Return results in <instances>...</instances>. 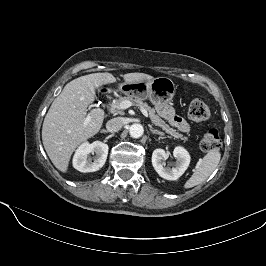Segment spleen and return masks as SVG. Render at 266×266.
I'll list each match as a JSON object with an SVG mask.
<instances>
[{"label": "spleen", "mask_w": 266, "mask_h": 266, "mask_svg": "<svg viewBox=\"0 0 266 266\" xmlns=\"http://www.w3.org/2000/svg\"><path fill=\"white\" fill-rule=\"evenodd\" d=\"M221 154L212 149L198 161L191 177L185 182L184 188L189 189L204 182L216 169L220 162Z\"/></svg>", "instance_id": "1"}]
</instances>
